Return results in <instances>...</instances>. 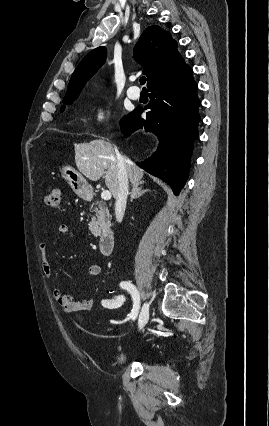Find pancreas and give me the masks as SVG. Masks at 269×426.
Returning <instances> with one entry per match:
<instances>
[{
    "mask_svg": "<svg viewBox=\"0 0 269 426\" xmlns=\"http://www.w3.org/2000/svg\"><path fill=\"white\" fill-rule=\"evenodd\" d=\"M94 212L96 213V216L92 217V220L89 223V230L95 237H97L100 235V227L109 224L110 213L106 204L102 201L96 202Z\"/></svg>",
    "mask_w": 269,
    "mask_h": 426,
    "instance_id": "pancreas-1",
    "label": "pancreas"
}]
</instances>
